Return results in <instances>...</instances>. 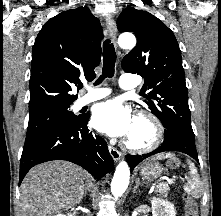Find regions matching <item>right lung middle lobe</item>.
Returning a JSON list of instances; mask_svg holds the SVG:
<instances>
[{"label": "right lung middle lobe", "instance_id": "right-lung-middle-lobe-1", "mask_svg": "<svg viewBox=\"0 0 221 216\" xmlns=\"http://www.w3.org/2000/svg\"><path fill=\"white\" fill-rule=\"evenodd\" d=\"M78 116L70 111V105L56 107L30 115L24 145L35 142L47 133L75 122Z\"/></svg>", "mask_w": 221, "mask_h": 216}]
</instances>
